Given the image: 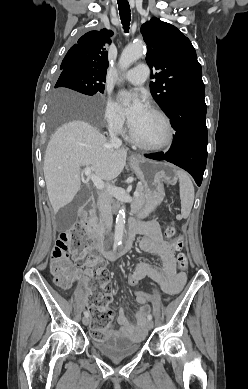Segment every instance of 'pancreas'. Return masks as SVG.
Returning <instances> with one entry per match:
<instances>
[{"instance_id":"obj_1","label":"pancreas","mask_w":248,"mask_h":389,"mask_svg":"<svg viewBox=\"0 0 248 389\" xmlns=\"http://www.w3.org/2000/svg\"><path fill=\"white\" fill-rule=\"evenodd\" d=\"M136 191L139 193V196L134 197V203L132 204V209L134 211H140L145 204L146 189L143 184H138ZM96 230L99 234H103L104 226L101 220L99 221Z\"/></svg>"}]
</instances>
